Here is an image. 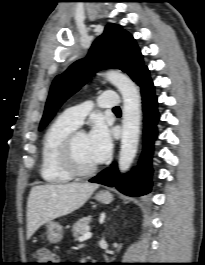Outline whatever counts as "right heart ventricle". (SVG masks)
I'll return each mask as SVG.
<instances>
[{"instance_id": "right-heart-ventricle-1", "label": "right heart ventricle", "mask_w": 205, "mask_h": 265, "mask_svg": "<svg viewBox=\"0 0 205 265\" xmlns=\"http://www.w3.org/2000/svg\"><path fill=\"white\" fill-rule=\"evenodd\" d=\"M76 128L75 124L61 115L46 130L42 140L40 163V174L44 181L62 184L73 178L62 165L61 151L67 136Z\"/></svg>"}]
</instances>
